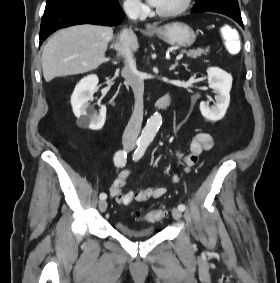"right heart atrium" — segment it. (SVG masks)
I'll return each instance as SVG.
<instances>
[{"label":"right heart atrium","mask_w":280,"mask_h":283,"mask_svg":"<svg viewBox=\"0 0 280 283\" xmlns=\"http://www.w3.org/2000/svg\"><path fill=\"white\" fill-rule=\"evenodd\" d=\"M123 8L132 16H140L145 11V6L139 0H124Z\"/></svg>","instance_id":"right-heart-atrium-1"}]
</instances>
